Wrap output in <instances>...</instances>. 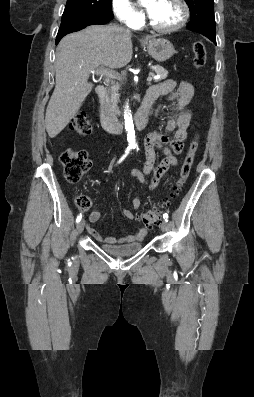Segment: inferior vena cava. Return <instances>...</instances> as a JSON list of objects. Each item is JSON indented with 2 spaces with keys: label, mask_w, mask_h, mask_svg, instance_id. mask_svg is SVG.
I'll return each instance as SVG.
<instances>
[{
  "label": "inferior vena cava",
  "mask_w": 254,
  "mask_h": 397,
  "mask_svg": "<svg viewBox=\"0 0 254 397\" xmlns=\"http://www.w3.org/2000/svg\"><path fill=\"white\" fill-rule=\"evenodd\" d=\"M125 32H129L128 29L122 28Z\"/></svg>",
  "instance_id": "obj_1"
}]
</instances>
